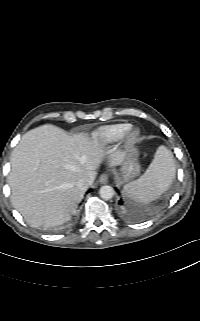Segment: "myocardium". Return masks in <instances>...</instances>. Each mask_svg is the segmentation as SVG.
<instances>
[{"label":"myocardium","mask_w":200,"mask_h":321,"mask_svg":"<svg viewBox=\"0 0 200 321\" xmlns=\"http://www.w3.org/2000/svg\"><path fill=\"white\" fill-rule=\"evenodd\" d=\"M140 137V131L137 128H130L122 137L126 145L135 144Z\"/></svg>","instance_id":"myocardium-1"}]
</instances>
